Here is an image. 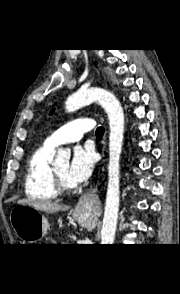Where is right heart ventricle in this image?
<instances>
[{
  "mask_svg": "<svg viewBox=\"0 0 180 294\" xmlns=\"http://www.w3.org/2000/svg\"><path fill=\"white\" fill-rule=\"evenodd\" d=\"M54 148L45 143L30 156L24 189L27 196L43 201L55 200L58 193L53 187L50 159Z\"/></svg>",
  "mask_w": 180,
  "mask_h": 294,
  "instance_id": "right-heart-ventricle-1",
  "label": "right heart ventricle"
}]
</instances>
